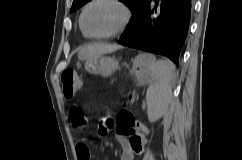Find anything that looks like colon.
<instances>
[{
  "mask_svg": "<svg viewBox=\"0 0 242 160\" xmlns=\"http://www.w3.org/2000/svg\"><path fill=\"white\" fill-rule=\"evenodd\" d=\"M61 82L63 86V93L66 97H72L77 90L81 87L80 79L77 75L76 70L66 69L61 75ZM72 117L78 123H82L83 113L79 109L72 110ZM137 122L132 112L130 111H121L117 115V126L119 131L124 133H130L134 130Z\"/></svg>",
  "mask_w": 242,
  "mask_h": 160,
  "instance_id": "colon-1",
  "label": "colon"
}]
</instances>
